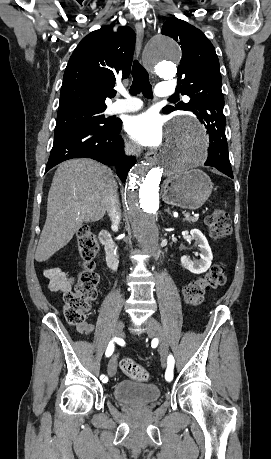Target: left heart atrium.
<instances>
[{
	"instance_id": "1",
	"label": "left heart atrium",
	"mask_w": 271,
	"mask_h": 459,
	"mask_svg": "<svg viewBox=\"0 0 271 459\" xmlns=\"http://www.w3.org/2000/svg\"><path fill=\"white\" fill-rule=\"evenodd\" d=\"M127 132L137 145L157 147L164 139V121L154 112H145L129 120Z\"/></svg>"
}]
</instances>
